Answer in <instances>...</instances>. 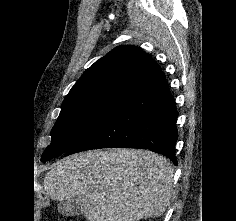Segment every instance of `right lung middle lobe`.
I'll return each instance as SVG.
<instances>
[{
  "instance_id": "obj_1",
  "label": "right lung middle lobe",
  "mask_w": 236,
  "mask_h": 221,
  "mask_svg": "<svg viewBox=\"0 0 236 221\" xmlns=\"http://www.w3.org/2000/svg\"><path fill=\"white\" fill-rule=\"evenodd\" d=\"M134 94L125 90L100 91L63 103L51 132V144L45 149L41 161L70 150Z\"/></svg>"
}]
</instances>
